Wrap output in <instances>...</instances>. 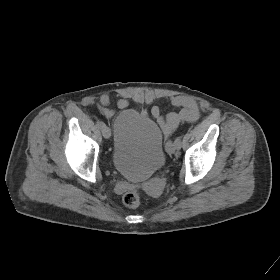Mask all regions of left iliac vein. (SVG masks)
<instances>
[{
    "label": "left iliac vein",
    "instance_id": "obj_1",
    "mask_svg": "<svg viewBox=\"0 0 280 280\" xmlns=\"http://www.w3.org/2000/svg\"><path fill=\"white\" fill-rule=\"evenodd\" d=\"M177 149V145L172 142V141H169L166 145V151L168 154H173Z\"/></svg>",
    "mask_w": 280,
    "mask_h": 280
}]
</instances>
